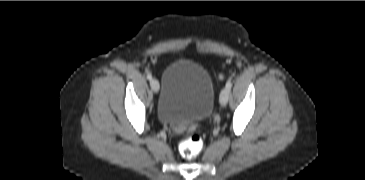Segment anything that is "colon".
Here are the masks:
<instances>
[{"mask_svg":"<svg viewBox=\"0 0 365 180\" xmlns=\"http://www.w3.org/2000/svg\"><path fill=\"white\" fill-rule=\"evenodd\" d=\"M178 147L183 157L191 159L197 157L202 152L204 142L202 137L196 133V128L191 126L188 129L187 137L180 141Z\"/></svg>","mask_w":365,"mask_h":180,"instance_id":"obj_1","label":"colon"}]
</instances>
